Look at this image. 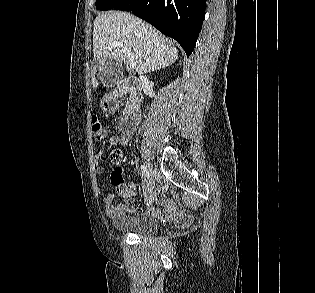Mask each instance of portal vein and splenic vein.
Instances as JSON below:
<instances>
[{"label":"portal vein and splenic vein","instance_id":"obj_1","mask_svg":"<svg viewBox=\"0 0 315 293\" xmlns=\"http://www.w3.org/2000/svg\"><path fill=\"white\" fill-rule=\"evenodd\" d=\"M117 46H123V44L120 43V42L114 41V42H112V43L109 45L108 49H109V50H112V49L116 48ZM123 51H124V53H125V56H126L127 59H128L129 67H130L131 69H134V68L136 67V64H135V61H134L133 57L130 55L129 50H128L127 48H124Z\"/></svg>","mask_w":315,"mask_h":293}]
</instances>
